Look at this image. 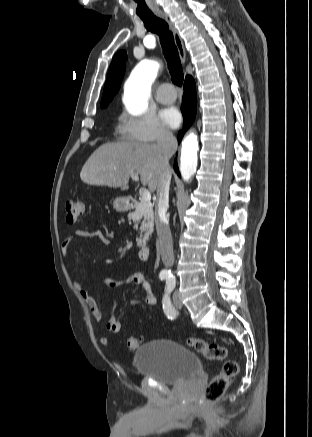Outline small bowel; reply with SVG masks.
Segmentation results:
<instances>
[{"label": "small bowel", "mask_w": 312, "mask_h": 437, "mask_svg": "<svg viewBox=\"0 0 312 437\" xmlns=\"http://www.w3.org/2000/svg\"><path fill=\"white\" fill-rule=\"evenodd\" d=\"M92 236H98L100 237L104 242H107L108 240L99 232V231H84V230H76L73 233H71L69 236H67L63 242H62V253L66 254L68 251L69 246L71 245L72 241L78 238L83 237H92ZM100 284L103 287L106 288H115L119 287L125 284H132L135 286H138L143 291V303L146 305H154L156 303V296L152 289L151 284L146 279L145 275L142 273H135L132 274L124 279H103L100 281ZM76 289L86 305L88 306L92 316L94 319L98 322H100L103 318L102 311L95 300V298L89 293L88 287L85 284H77ZM142 302L138 300H133L129 303V307L133 308L136 306H139ZM106 330L109 333L117 334L121 331V321L119 317L116 314V304L113 303L111 307V311L109 313V316L106 321ZM100 341L104 345H108L109 340L106 336H101Z\"/></svg>", "instance_id": "obj_1"}]
</instances>
